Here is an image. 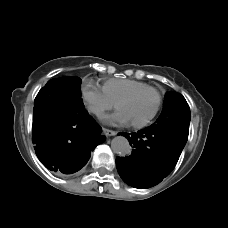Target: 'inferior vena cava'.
<instances>
[{"mask_svg": "<svg viewBox=\"0 0 228 228\" xmlns=\"http://www.w3.org/2000/svg\"><path fill=\"white\" fill-rule=\"evenodd\" d=\"M90 112L96 114L97 116H100L103 113V109L101 107L98 106H93L91 105L89 107Z\"/></svg>", "mask_w": 228, "mask_h": 228, "instance_id": "inferior-vena-cava-1", "label": "inferior vena cava"}]
</instances>
